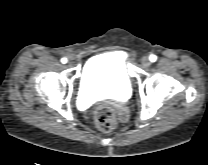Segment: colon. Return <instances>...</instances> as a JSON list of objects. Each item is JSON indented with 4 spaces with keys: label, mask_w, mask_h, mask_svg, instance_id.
I'll list each match as a JSON object with an SVG mask.
<instances>
[{
    "label": "colon",
    "mask_w": 208,
    "mask_h": 165,
    "mask_svg": "<svg viewBox=\"0 0 208 165\" xmlns=\"http://www.w3.org/2000/svg\"><path fill=\"white\" fill-rule=\"evenodd\" d=\"M97 128L103 132H110L116 127V112L109 104L99 106L94 113Z\"/></svg>",
    "instance_id": "colon-1"
}]
</instances>
